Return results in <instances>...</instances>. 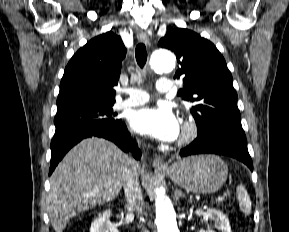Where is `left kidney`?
<instances>
[{"mask_svg": "<svg viewBox=\"0 0 289 232\" xmlns=\"http://www.w3.org/2000/svg\"><path fill=\"white\" fill-rule=\"evenodd\" d=\"M205 216L215 220L216 225L221 232H232L227 216L220 210L213 208L208 209L207 212L205 213Z\"/></svg>", "mask_w": 289, "mask_h": 232, "instance_id": "5707ae66", "label": "left kidney"}]
</instances>
